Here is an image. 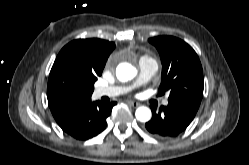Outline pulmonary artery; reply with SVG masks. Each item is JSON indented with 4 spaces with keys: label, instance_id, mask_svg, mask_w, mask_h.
I'll return each mask as SVG.
<instances>
[{
    "label": "pulmonary artery",
    "instance_id": "pulmonary-artery-1",
    "mask_svg": "<svg viewBox=\"0 0 249 165\" xmlns=\"http://www.w3.org/2000/svg\"><path fill=\"white\" fill-rule=\"evenodd\" d=\"M157 72V64L154 60L142 57L139 60V74L136 80L127 86H99L95 89L94 95L96 97L102 96H117L127 94L133 89L148 82ZM163 105L168 104V100L164 99L162 101Z\"/></svg>",
    "mask_w": 249,
    "mask_h": 165
}]
</instances>
